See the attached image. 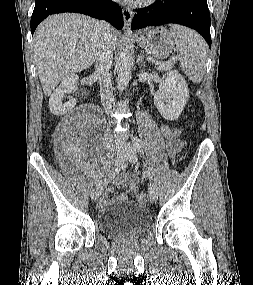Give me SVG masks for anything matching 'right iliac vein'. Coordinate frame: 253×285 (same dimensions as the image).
<instances>
[{"label": "right iliac vein", "instance_id": "right-iliac-vein-1", "mask_svg": "<svg viewBox=\"0 0 253 285\" xmlns=\"http://www.w3.org/2000/svg\"><path fill=\"white\" fill-rule=\"evenodd\" d=\"M123 160H124V151H123V149H119L117 152V156H116L112 171H117V169L122 164ZM110 178H111V175H109L107 178L103 179L101 182H99L95 186V188L93 189V191L91 193V199L93 201H96L100 197V195L103 192V189L105 188L107 183L110 181Z\"/></svg>", "mask_w": 253, "mask_h": 285}]
</instances>
